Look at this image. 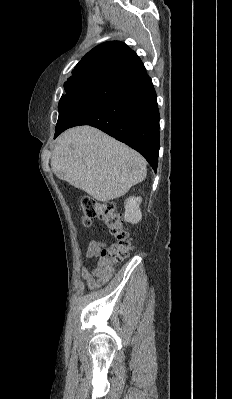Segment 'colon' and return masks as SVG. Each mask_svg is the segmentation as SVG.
<instances>
[{"label":"colon","instance_id":"5ec220e1","mask_svg":"<svg viewBox=\"0 0 232 399\" xmlns=\"http://www.w3.org/2000/svg\"><path fill=\"white\" fill-rule=\"evenodd\" d=\"M116 203L114 200H109V203H103L102 200L94 201V198H89V194H84L81 198V224L84 227H89V219H94V216H102V222L106 223V231L112 233V245L108 246V252H101V247H96V261H98V268L96 271V280L99 283H110L114 268H119V261L129 260V248H134V243H129L125 239L126 235H131V226L127 223H121V219L117 218V213L114 212ZM102 260L101 259H104ZM104 273L106 276H104Z\"/></svg>","mask_w":232,"mask_h":399}]
</instances>
